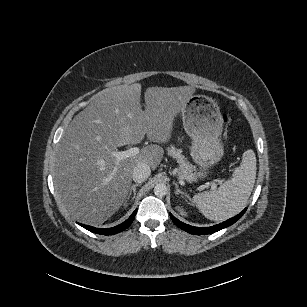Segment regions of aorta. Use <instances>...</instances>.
<instances>
[{
	"mask_svg": "<svg viewBox=\"0 0 307 307\" xmlns=\"http://www.w3.org/2000/svg\"><path fill=\"white\" fill-rule=\"evenodd\" d=\"M154 194L157 197H163L167 194V187L163 183L156 184L154 187Z\"/></svg>",
	"mask_w": 307,
	"mask_h": 307,
	"instance_id": "1",
	"label": "aorta"
}]
</instances>
